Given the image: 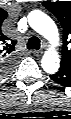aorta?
I'll use <instances>...</instances> for the list:
<instances>
[{
	"mask_svg": "<svg viewBox=\"0 0 71 119\" xmlns=\"http://www.w3.org/2000/svg\"><path fill=\"white\" fill-rule=\"evenodd\" d=\"M29 25L37 33L45 37L52 44H57L59 33L54 21L40 10H34L28 15ZM42 68L49 74H54L60 67L59 55L55 52L48 51L41 60Z\"/></svg>",
	"mask_w": 71,
	"mask_h": 119,
	"instance_id": "obj_1",
	"label": "aorta"
}]
</instances>
